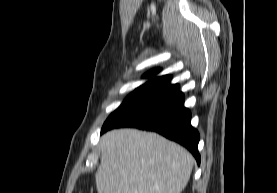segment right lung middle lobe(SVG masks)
Segmentation results:
<instances>
[{"mask_svg":"<svg viewBox=\"0 0 277 193\" xmlns=\"http://www.w3.org/2000/svg\"><path fill=\"white\" fill-rule=\"evenodd\" d=\"M146 94L141 93V92H133L131 93L124 101L123 103L119 106V108L114 111L106 120L109 121L114 115H116L117 113L121 112L122 110H124L125 108L133 105L134 103H136L137 101H139L141 98H143Z\"/></svg>","mask_w":277,"mask_h":193,"instance_id":"right-lung-middle-lobe-1","label":"right lung middle lobe"}]
</instances>
